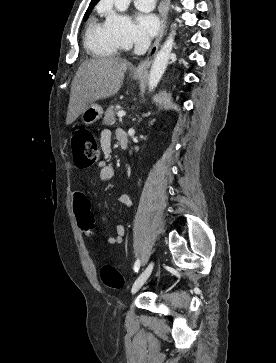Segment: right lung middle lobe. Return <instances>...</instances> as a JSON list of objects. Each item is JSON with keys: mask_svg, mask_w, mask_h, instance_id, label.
<instances>
[{"mask_svg": "<svg viewBox=\"0 0 276 363\" xmlns=\"http://www.w3.org/2000/svg\"><path fill=\"white\" fill-rule=\"evenodd\" d=\"M92 9H93V7L88 8V10L86 11V13L84 15V20H86L88 18V16L90 15Z\"/></svg>", "mask_w": 276, "mask_h": 363, "instance_id": "dd1d6c3e", "label": "right lung middle lobe"}]
</instances>
